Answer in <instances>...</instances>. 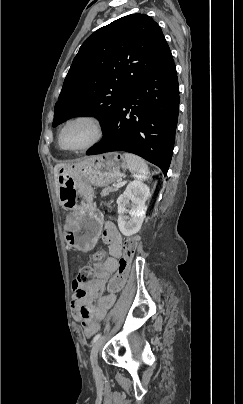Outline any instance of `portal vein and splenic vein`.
<instances>
[{
	"label": "portal vein and splenic vein",
	"mask_w": 243,
	"mask_h": 404,
	"mask_svg": "<svg viewBox=\"0 0 243 404\" xmlns=\"http://www.w3.org/2000/svg\"><path fill=\"white\" fill-rule=\"evenodd\" d=\"M128 183V180L125 181H119L118 184H115L114 188H122V186H126Z\"/></svg>",
	"instance_id": "18ae733b"
}]
</instances>
